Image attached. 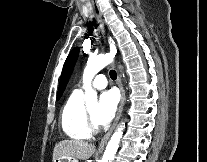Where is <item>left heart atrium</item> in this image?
I'll list each match as a JSON object with an SVG mask.
<instances>
[{"mask_svg": "<svg viewBox=\"0 0 207 162\" xmlns=\"http://www.w3.org/2000/svg\"><path fill=\"white\" fill-rule=\"evenodd\" d=\"M119 98L115 90H108L100 95L96 113V121L100 125H107L114 118L118 108Z\"/></svg>", "mask_w": 207, "mask_h": 162, "instance_id": "left-heart-atrium-1", "label": "left heart atrium"}]
</instances>
